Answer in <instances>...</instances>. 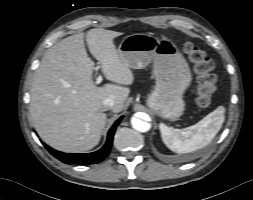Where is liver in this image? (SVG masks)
<instances>
[{
  "instance_id": "obj_1",
  "label": "liver",
  "mask_w": 253,
  "mask_h": 200,
  "mask_svg": "<svg viewBox=\"0 0 253 200\" xmlns=\"http://www.w3.org/2000/svg\"><path fill=\"white\" fill-rule=\"evenodd\" d=\"M122 33L90 29L86 43L105 78L116 84L96 86L94 63L88 58L82 33L49 48L31 85L30 118L41 139L56 150L87 152L100 141L107 115L103 100L112 98L114 113L124 108L134 75L117 52L113 39Z\"/></svg>"
}]
</instances>
